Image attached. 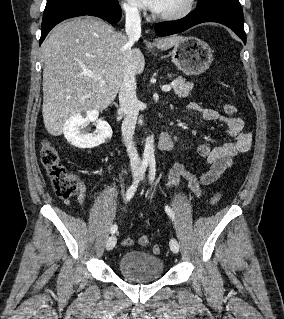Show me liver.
<instances>
[{"mask_svg":"<svg viewBox=\"0 0 284 319\" xmlns=\"http://www.w3.org/2000/svg\"><path fill=\"white\" fill-rule=\"evenodd\" d=\"M181 39L174 35L156 41L155 46L167 50ZM42 55L43 120L54 136L63 132L73 115L106 109L127 72L141 74L145 67L140 49H131L124 34L95 17L75 18L56 26L42 44ZM97 77L105 80V85L101 86Z\"/></svg>","mask_w":284,"mask_h":319,"instance_id":"1","label":"liver"}]
</instances>
